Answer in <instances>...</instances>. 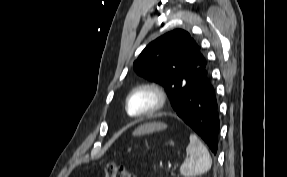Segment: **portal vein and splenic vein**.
I'll return each instance as SVG.
<instances>
[{
    "instance_id": "18ae733b",
    "label": "portal vein and splenic vein",
    "mask_w": 287,
    "mask_h": 177,
    "mask_svg": "<svg viewBox=\"0 0 287 177\" xmlns=\"http://www.w3.org/2000/svg\"><path fill=\"white\" fill-rule=\"evenodd\" d=\"M171 168H172V164L169 163V164H168V169H171Z\"/></svg>"
}]
</instances>
